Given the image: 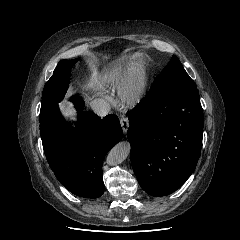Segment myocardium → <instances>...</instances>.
<instances>
[{
	"instance_id": "f54148a6",
	"label": "myocardium",
	"mask_w": 240,
	"mask_h": 240,
	"mask_svg": "<svg viewBox=\"0 0 240 240\" xmlns=\"http://www.w3.org/2000/svg\"><path fill=\"white\" fill-rule=\"evenodd\" d=\"M146 77L142 72L129 68L120 86L121 100L127 104L135 103L146 90Z\"/></svg>"
}]
</instances>
